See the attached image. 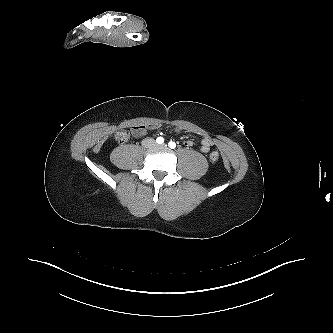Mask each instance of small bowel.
I'll return each instance as SVG.
<instances>
[{
	"label": "small bowel",
	"mask_w": 333,
	"mask_h": 333,
	"mask_svg": "<svg viewBox=\"0 0 333 333\" xmlns=\"http://www.w3.org/2000/svg\"><path fill=\"white\" fill-rule=\"evenodd\" d=\"M147 128L143 125L141 126H134L131 128V133L134 137H142L146 134ZM187 145H191V141H187ZM212 146V140L210 138H203L201 140V146H200V151L202 153H208L210 148Z\"/></svg>",
	"instance_id": "obj_1"
}]
</instances>
